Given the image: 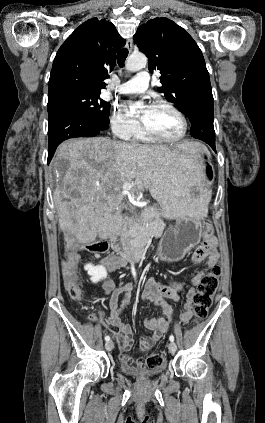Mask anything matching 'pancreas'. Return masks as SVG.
Listing matches in <instances>:
<instances>
[{
	"instance_id": "cf45deb5",
	"label": "pancreas",
	"mask_w": 265,
	"mask_h": 423,
	"mask_svg": "<svg viewBox=\"0 0 265 423\" xmlns=\"http://www.w3.org/2000/svg\"><path fill=\"white\" fill-rule=\"evenodd\" d=\"M165 223L158 216L148 223L137 222L129 225L127 236L137 244H143L156 234H161Z\"/></svg>"
}]
</instances>
